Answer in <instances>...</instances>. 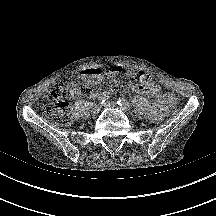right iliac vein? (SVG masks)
I'll list each match as a JSON object with an SVG mask.
<instances>
[{
    "label": "right iliac vein",
    "mask_w": 216,
    "mask_h": 216,
    "mask_svg": "<svg viewBox=\"0 0 216 216\" xmlns=\"http://www.w3.org/2000/svg\"><path fill=\"white\" fill-rule=\"evenodd\" d=\"M102 105L101 104H95L91 110L92 114L96 115L101 110Z\"/></svg>",
    "instance_id": "63e3f726"
}]
</instances>
